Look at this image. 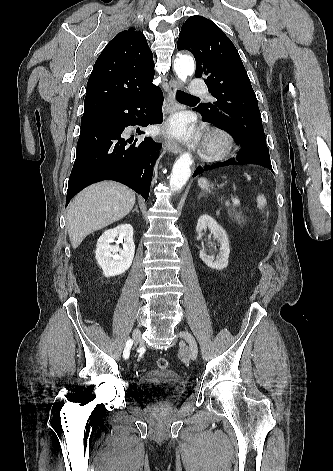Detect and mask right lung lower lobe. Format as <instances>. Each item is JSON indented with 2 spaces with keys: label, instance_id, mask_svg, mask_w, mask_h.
<instances>
[{
  "label": "right lung lower lobe",
  "instance_id": "98d812e1",
  "mask_svg": "<svg viewBox=\"0 0 333 471\" xmlns=\"http://www.w3.org/2000/svg\"><path fill=\"white\" fill-rule=\"evenodd\" d=\"M162 101L161 89L152 86L124 102L82 116L66 206L83 188L102 180L121 182L148 199L160 145L151 137L126 140L122 133L129 125L161 123Z\"/></svg>",
  "mask_w": 333,
  "mask_h": 471
}]
</instances>
